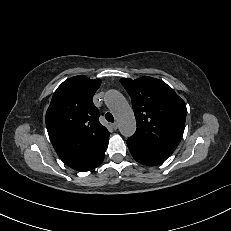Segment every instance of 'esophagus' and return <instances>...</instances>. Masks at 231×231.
Masks as SVG:
<instances>
[{
	"label": "esophagus",
	"instance_id": "34e87169",
	"mask_svg": "<svg viewBox=\"0 0 231 231\" xmlns=\"http://www.w3.org/2000/svg\"><path fill=\"white\" fill-rule=\"evenodd\" d=\"M111 127H112L114 130H116V129L118 128V124H117V123H112V124H111Z\"/></svg>",
	"mask_w": 231,
	"mask_h": 231
}]
</instances>
